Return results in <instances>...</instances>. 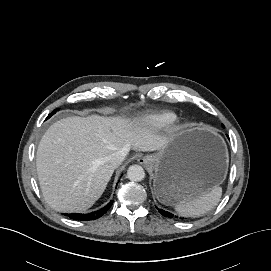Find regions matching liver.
Here are the masks:
<instances>
[{
	"label": "liver",
	"mask_w": 271,
	"mask_h": 271,
	"mask_svg": "<svg viewBox=\"0 0 271 271\" xmlns=\"http://www.w3.org/2000/svg\"><path fill=\"white\" fill-rule=\"evenodd\" d=\"M169 137L137 121L93 115L68 117L51 125L37 150L36 166L43 197L58 212L90 208L114 172L109 157L121 150L151 152Z\"/></svg>",
	"instance_id": "1"
}]
</instances>
